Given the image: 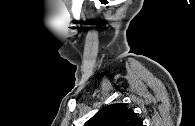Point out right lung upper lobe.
Returning <instances> with one entry per match:
<instances>
[{"label":"right lung upper lobe","mask_w":195,"mask_h":126,"mask_svg":"<svg viewBox=\"0 0 195 126\" xmlns=\"http://www.w3.org/2000/svg\"><path fill=\"white\" fill-rule=\"evenodd\" d=\"M85 126H142V122L126 104L116 103L102 108Z\"/></svg>","instance_id":"1"}]
</instances>
